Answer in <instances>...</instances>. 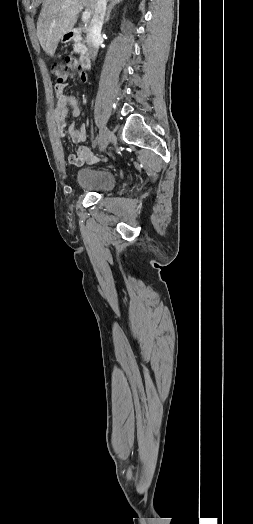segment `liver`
Instances as JSON below:
<instances>
[{
  "mask_svg": "<svg viewBox=\"0 0 253 524\" xmlns=\"http://www.w3.org/2000/svg\"><path fill=\"white\" fill-rule=\"evenodd\" d=\"M74 2L86 7L91 15L94 14L97 0H43L37 21V37L43 50L50 56H54L60 39L77 22L79 8L72 5Z\"/></svg>",
  "mask_w": 253,
  "mask_h": 524,
  "instance_id": "6515ba94",
  "label": "liver"
}]
</instances>
